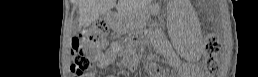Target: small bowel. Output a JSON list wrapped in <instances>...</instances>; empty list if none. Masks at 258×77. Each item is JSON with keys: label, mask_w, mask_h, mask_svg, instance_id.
I'll return each mask as SVG.
<instances>
[{"label": "small bowel", "mask_w": 258, "mask_h": 77, "mask_svg": "<svg viewBox=\"0 0 258 77\" xmlns=\"http://www.w3.org/2000/svg\"><path fill=\"white\" fill-rule=\"evenodd\" d=\"M111 53H114V51H111ZM92 56L97 61L98 68H102L107 64V55H103L101 53H93Z\"/></svg>", "instance_id": "1"}]
</instances>
